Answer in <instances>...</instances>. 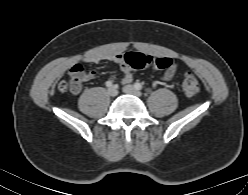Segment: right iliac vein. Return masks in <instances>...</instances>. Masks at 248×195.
<instances>
[{"mask_svg": "<svg viewBox=\"0 0 248 195\" xmlns=\"http://www.w3.org/2000/svg\"><path fill=\"white\" fill-rule=\"evenodd\" d=\"M108 94L112 97L116 96L118 94V91L115 87H110L108 89Z\"/></svg>", "mask_w": 248, "mask_h": 195, "instance_id": "63e3f726", "label": "right iliac vein"}]
</instances>
